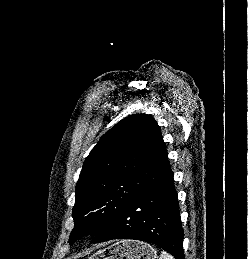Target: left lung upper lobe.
I'll list each match as a JSON object with an SVG mask.
<instances>
[{
  "instance_id": "left-lung-upper-lobe-1",
  "label": "left lung upper lobe",
  "mask_w": 248,
  "mask_h": 259,
  "mask_svg": "<svg viewBox=\"0 0 248 259\" xmlns=\"http://www.w3.org/2000/svg\"><path fill=\"white\" fill-rule=\"evenodd\" d=\"M157 122L130 115L106 132L84 161L76 185L69 238L96 236L170 169Z\"/></svg>"
}]
</instances>
